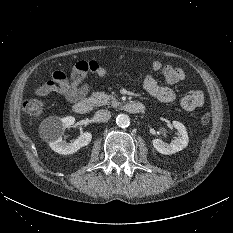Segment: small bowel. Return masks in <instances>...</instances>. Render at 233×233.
<instances>
[{"instance_id": "1", "label": "small bowel", "mask_w": 233, "mask_h": 233, "mask_svg": "<svg viewBox=\"0 0 233 233\" xmlns=\"http://www.w3.org/2000/svg\"><path fill=\"white\" fill-rule=\"evenodd\" d=\"M151 69L161 71L169 85L179 83L185 79L182 69L171 65H163L160 61H153ZM107 69L96 60L79 61L73 67L69 77L61 71H55L51 78L36 89L40 96L50 93L63 95L68 101L74 102L83 98L89 91L87 78L89 75L105 77ZM145 91L161 102H173L176 94L170 87L160 86L152 75H146L143 81ZM204 105V93L201 90H190L181 100V106L185 111L191 112Z\"/></svg>"}]
</instances>
